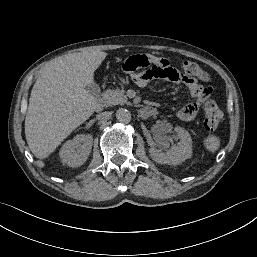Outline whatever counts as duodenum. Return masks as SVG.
Returning <instances> with one entry per match:
<instances>
[{"instance_id":"obj_1","label":"duodenum","mask_w":257,"mask_h":257,"mask_svg":"<svg viewBox=\"0 0 257 257\" xmlns=\"http://www.w3.org/2000/svg\"><path fill=\"white\" fill-rule=\"evenodd\" d=\"M95 111L97 113H101L104 109V99L102 97H99L95 101L94 105ZM141 115L143 117H153L156 115V110L153 107H145L141 110Z\"/></svg>"}]
</instances>
